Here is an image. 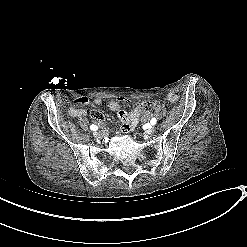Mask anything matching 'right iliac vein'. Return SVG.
I'll use <instances>...</instances> for the list:
<instances>
[{"label": "right iliac vein", "mask_w": 247, "mask_h": 247, "mask_svg": "<svg viewBox=\"0 0 247 247\" xmlns=\"http://www.w3.org/2000/svg\"><path fill=\"white\" fill-rule=\"evenodd\" d=\"M93 136H94V137H97V138H99V137H100L99 133H98V132H96V131H95V132H93Z\"/></svg>", "instance_id": "1"}]
</instances>
